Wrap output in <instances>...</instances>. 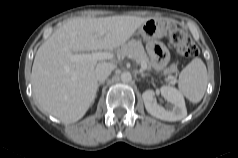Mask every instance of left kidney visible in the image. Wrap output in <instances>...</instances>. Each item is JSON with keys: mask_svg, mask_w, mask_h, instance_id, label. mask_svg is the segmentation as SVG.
Masks as SVG:
<instances>
[{"mask_svg": "<svg viewBox=\"0 0 238 158\" xmlns=\"http://www.w3.org/2000/svg\"><path fill=\"white\" fill-rule=\"evenodd\" d=\"M161 95L173 105L171 110L157 104L154 99V91L146 90L142 94L145 108L152 116L165 121H178L187 116V109L182 94L174 87L162 86L160 88Z\"/></svg>", "mask_w": 238, "mask_h": 158, "instance_id": "left-kidney-1", "label": "left kidney"}]
</instances>
